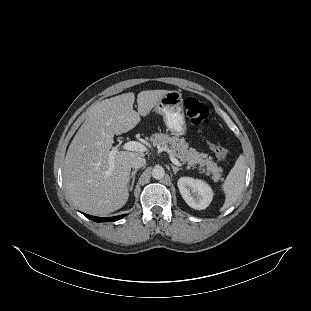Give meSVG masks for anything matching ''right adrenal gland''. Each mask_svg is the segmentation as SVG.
Returning <instances> with one entry per match:
<instances>
[{"label": "right adrenal gland", "mask_w": 311, "mask_h": 311, "mask_svg": "<svg viewBox=\"0 0 311 311\" xmlns=\"http://www.w3.org/2000/svg\"><path fill=\"white\" fill-rule=\"evenodd\" d=\"M138 169H135L134 171L131 172L130 174V177H129V182H128V187H129V190L132 191L133 190V186H134V183H135V175L137 173ZM132 179V181H131ZM130 181H131V185H130Z\"/></svg>", "instance_id": "obj_1"}]
</instances>
